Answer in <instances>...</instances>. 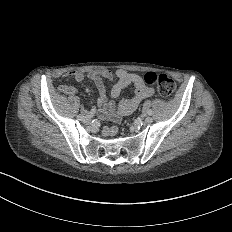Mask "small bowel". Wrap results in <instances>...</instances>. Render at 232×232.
<instances>
[{
  "mask_svg": "<svg viewBox=\"0 0 232 232\" xmlns=\"http://www.w3.org/2000/svg\"><path fill=\"white\" fill-rule=\"evenodd\" d=\"M116 75L119 78V81L113 85L111 90L112 99L108 101L104 79L111 80L113 78L112 70H66L62 74L64 78H73L77 82H82L85 79H91L96 82L99 89L98 102L102 105L100 113L103 119L111 118V113L115 108L113 99L117 98L120 91L129 85H134L137 89V93L131 100L123 99L119 102L117 112L114 116L115 119H119L121 115H127L133 112L143 98L156 96V91L147 86L146 81L141 74L125 69H118L116 70ZM60 88L67 93H74L76 91V87L70 84H63ZM117 132L118 129L115 126H107L102 129V136H114Z\"/></svg>",
  "mask_w": 232,
  "mask_h": 232,
  "instance_id": "small-bowel-1",
  "label": "small bowel"
}]
</instances>
